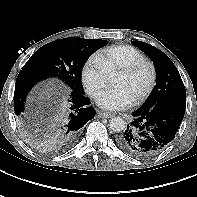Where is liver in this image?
<instances>
[{
  "label": "liver",
  "mask_w": 197,
  "mask_h": 197,
  "mask_svg": "<svg viewBox=\"0 0 197 197\" xmlns=\"http://www.w3.org/2000/svg\"><path fill=\"white\" fill-rule=\"evenodd\" d=\"M52 91V88L46 86L42 89H40V99H46L50 97V92Z\"/></svg>",
  "instance_id": "liver-1"
}]
</instances>
